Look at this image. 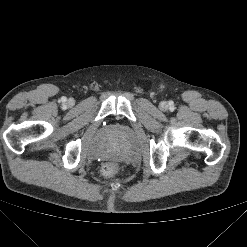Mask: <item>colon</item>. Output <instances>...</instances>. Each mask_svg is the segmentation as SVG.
<instances>
[{
  "label": "colon",
  "mask_w": 247,
  "mask_h": 247,
  "mask_svg": "<svg viewBox=\"0 0 247 247\" xmlns=\"http://www.w3.org/2000/svg\"><path fill=\"white\" fill-rule=\"evenodd\" d=\"M117 170H118V167L113 162L105 163L102 166V173L106 177H112V176H114L116 174Z\"/></svg>",
  "instance_id": "colon-1"
}]
</instances>
